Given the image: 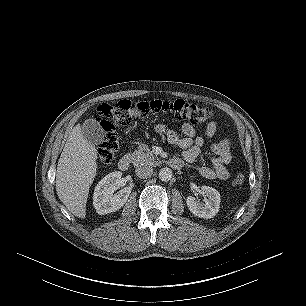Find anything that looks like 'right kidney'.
Returning <instances> with one entry per match:
<instances>
[{
    "mask_svg": "<svg viewBox=\"0 0 306 306\" xmlns=\"http://www.w3.org/2000/svg\"><path fill=\"white\" fill-rule=\"evenodd\" d=\"M121 177L122 173L120 171L109 173L95 187L93 205L98 214L105 215L115 212L127 202L131 193L130 187H125L118 194L113 195Z\"/></svg>",
    "mask_w": 306,
    "mask_h": 306,
    "instance_id": "ca27d5eb",
    "label": "right kidney"
}]
</instances>
